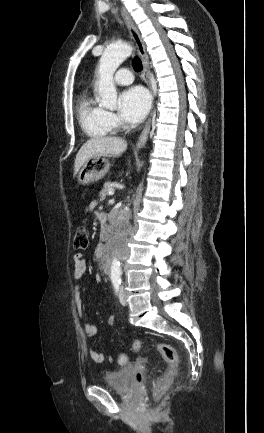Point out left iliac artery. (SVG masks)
Masks as SVG:
<instances>
[{"label": "left iliac artery", "mask_w": 264, "mask_h": 433, "mask_svg": "<svg viewBox=\"0 0 264 433\" xmlns=\"http://www.w3.org/2000/svg\"><path fill=\"white\" fill-rule=\"evenodd\" d=\"M112 283H113L114 289L117 293L119 291V287L121 285V279L120 278H113Z\"/></svg>", "instance_id": "44dca946"}]
</instances>
